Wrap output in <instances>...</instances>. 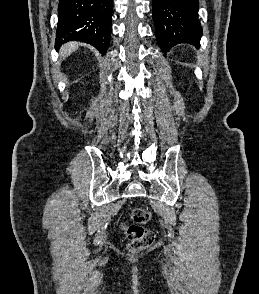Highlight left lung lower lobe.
<instances>
[{"label": "left lung lower lobe", "mask_w": 259, "mask_h": 294, "mask_svg": "<svg viewBox=\"0 0 259 294\" xmlns=\"http://www.w3.org/2000/svg\"><path fill=\"white\" fill-rule=\"evenodd\" d=\"M198 0H152L156 37L162 51L179 43L199 46Z\"/></svg>", "instance_id": "obj_1"}]
</instances>
